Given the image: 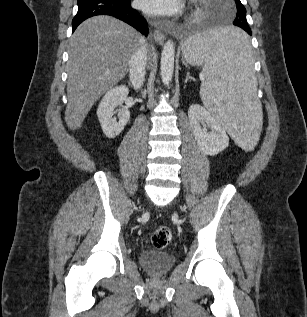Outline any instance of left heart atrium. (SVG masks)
Segmentation results:
<instances>
[{"mask_svg": "<svg viewBox=\"0 0 307 317\" xmlns=\"http://www.w3.org/2000/svg\"><path fill=\"white\" fill-rule=\"evenodd\" d=\"M138 7L152 15H172L182 8L181 0H137Z\"/></svg>", "mask_w": 307, "mask_h": 317, "instance_id": "39dd6f15", "label": "left heart atrium"}]
</instances>
